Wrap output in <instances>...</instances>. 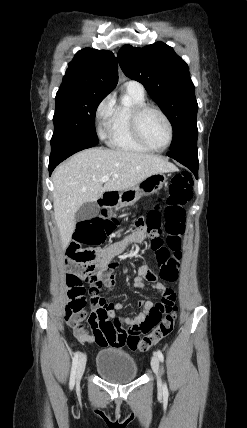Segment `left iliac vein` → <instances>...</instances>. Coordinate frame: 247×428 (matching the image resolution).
Instances as JSON below:
<instances>
[{"mask_svg":"<svg viewBox=\"0 0 247 428\" xmlns=\"http://www.w3.org/2000/svg\"><path fill=\"white\" fill-rule=\"evenodd\" d=\"M151 367H152V369H153V371L157 377L158 390L162 391L163 390V384H162V380L160 377V365H159V359H158L156 354H154L152 359H151Z\"/></svg>","mask_w":247,"mask_h":428,"instance_id":"4c4485c4","label":"left iliac vein"}]
</instances>
